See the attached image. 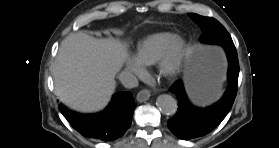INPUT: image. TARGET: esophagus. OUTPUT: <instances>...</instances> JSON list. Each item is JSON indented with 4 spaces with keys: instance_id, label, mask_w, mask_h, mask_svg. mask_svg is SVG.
<instances>
[{
    "instance_id": "34e87169",
    "label": "esophagus",
    "mask_w": 279,
    "mask_h": 148,
    "mask_svg": "<svg viewBox=\"0 0 279 148\" xmlns=\"http://www.w3.org/2000/svg\"><path fill=\"white\" fill-rule=\"evenodd\" d=\"M150 96L151 92L148 89H142L138 92L136 99L138 102H145L150 98Z\"/></svg>"
}]
</instances>
